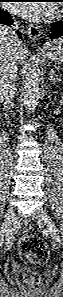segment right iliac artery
I'll return each instance as SVG.
<instances>
[{"label":"right iliac artery","mask_w":63,"mask_h":297,"mask_svg":"<svg viewBox=\"0 0 63 297\" xmlns=\"http://www.w3.org/2000/svg\"><path fill=\"white\" fill-rule=\"evenodd\" d=\"M4 234L6 237L12 235V228L7 229L6 231L2 232V234H1L2 237L4 236Z\"/></svg>","instance_id":"right-iliac-artery-1"}]
</instances>
